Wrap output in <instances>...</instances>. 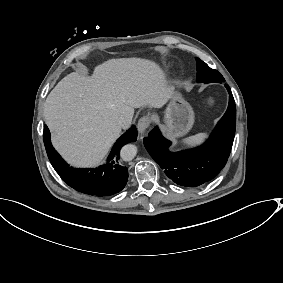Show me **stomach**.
Returning <instances> with one entry per match:
<instances>
[{"mask_svg":"<svg viewBox=\"0 0 283 283\" xmlns=\"http://www.w3.org/2000/svg\"><path fill=\"white\" fill-rule=\"evenodd\" d=\"M167 133L175 137L185 133L193 123V112L187 103L175 98L167 108Z\"/></svg>","mask_w":283,"mask_h":283,"instance_id":"stomach-1","label":"stomach"}]
</instances>
